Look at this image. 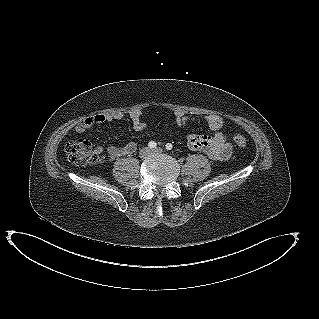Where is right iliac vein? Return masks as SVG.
<instances>
[{"instance_id":"63e3f726","label":"right iliac vein","mask_w":319,"mask_h":319,"mask_svg":"<svg viewBox=\"0 0 319 319\" xmlns=\"http://www.w3.org/2000/svg\"><path fill=\"white\" fill-rule=\"evenodd\" d=\"M150 154H151V150L147 147L141 149L139 153L140 157L143 159L148 157Z\"/></svg>"}]
</instances>
